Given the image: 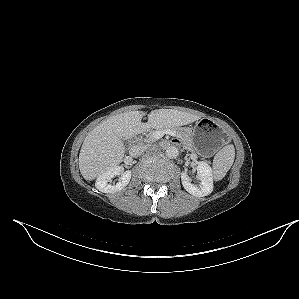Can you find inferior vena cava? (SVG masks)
<instances>
[{
    "mask_svg": "<svg viewBox=\"0 0 299 299\" xmlns=\"http://www.w3.org/2000/svg\"><path fill=\"white\" fill-rule=\"evenodd\" d=\"M146 149V145H134L130 148L129 154L131 157L137 158L141 156L144 153V151H146Z\"/></svg>",
    "mask_w": 299,
    "mask_h": 299,
    "instance_id": "obj_1",
    "label": "inferior vena cava"
}]
</instances>
